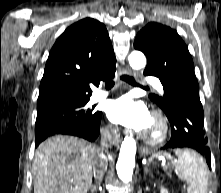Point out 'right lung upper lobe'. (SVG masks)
Masks as SVG:
<instances>
[{"instance_id":"right-lung-upper-lobe-1","label":"right lung upper lobe","mask_w":221,"mask_h":193,"mask_svg":"<svg viewBox=\"0 0 221 193\" xmlns=\"http://www.w3.org/2000/svg\"><path fill=\"white\" fill-rule=\"evenodd\" d=\"M116 58L104 24L85 18L68 27L52 47L38 103L90 99L89 84L114 76Z\"/></svg>"}]
</instances>
